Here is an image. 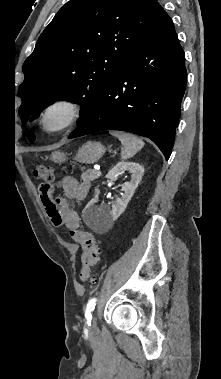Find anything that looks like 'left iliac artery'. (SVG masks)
<instances>
[{
	"label": "left iliac artery",
	"mask_w": 221,
	"mask_h": 379,
	"mask_svg": "<svg viewBox=\"0 0 221 379\" xmlns=\"http://www.w3.org/2000/svg\"><path fill=\"white\" fill-rule=\"evenodd\" d=\"M96 301H97V298H92L87 303L85 317H86L88 325H91L92 312L95 308Z\"/></svg>",
	"instance_id": "44dca946"
}]
</instances>
